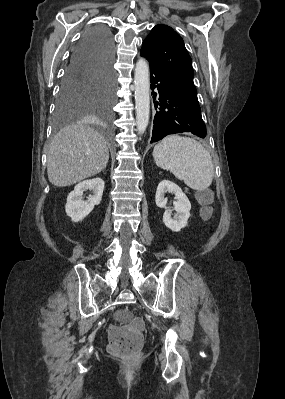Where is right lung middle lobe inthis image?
I'll return each instance as SVG.
<instances>
[{"mask_svg": "<svg viewBox=\"0 0 285 399\" xmlns=\"http://www.w3.org/2000/svg\"><path fill=\"white\" fill-rule=\"evenodd\" d=\"M114 99V80L64 77L56 102V122L61 125L81 112L92 111L109 121Z\"/></svg>", "mask_w": 285, "mask_h": 399, "instance_id": "obj_1", "label": "right lung middle lobe"}]
</instances>
